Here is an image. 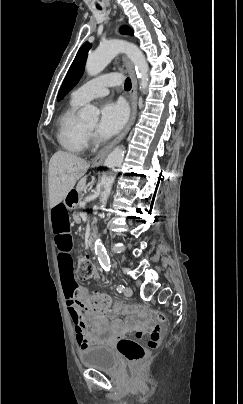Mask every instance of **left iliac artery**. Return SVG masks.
Masks as SVG:
<instances>
[{"instance_id":"left-iliac-artery-1","label":"left iliac artery","mask_w":243,"mask_h":404,"mask_svg":"<svg viewBox=\"0 0 243 404\" xmlns=\"http://www.w3.org/2000/svg\"><path fill=\"white\" fill-rule=\"evenodd\" d=\"M124 289H125L124 285H118V286H117V291H118L119 293L123 292Z\"/></svg>"}]
</instances>
